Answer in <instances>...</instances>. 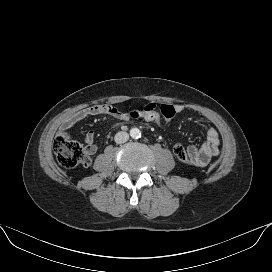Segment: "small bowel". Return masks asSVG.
<instances>
[{"instance_id":"small-bowel-1","label":"small bowel","mask_w":272,"mask_h":272,"mask_svg":"<svg viewBox=\"0 0 272 272\" xmlns=\"http://www.w3.org/2000/svg\"><path fill=\"white\" fill-rule=\"evenodd\" d=\"M146 106L157 107L155 103H148ZM177 113H182L185 110V106L177 104L175 106ZM97 115H109L115 119L128 121L130 120L129 112H121L114 106L108 104H96L84 109H81L70 116L66 117L60 123L58 134L60 136H67L68 130L79 122ZM83 141L86 144V150L89 154H94L97 150V146L94 142V132H87ZM220 138L216 128L209 127L206 131V140L201 146L190 145L187 147V152L196 166L206 165L210 159L217 156L220 152Z\"/></svg>"}]
</instances>
